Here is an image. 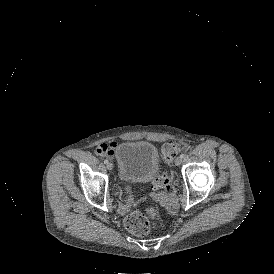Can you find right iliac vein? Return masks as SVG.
Returning a JSON list of instances; mask_svg holds the SVG:
<instances>
[{"label": "right iliac vein", "instance_id": "obj_1", "mask_svg": "<svg viewBox=\"0 0 274 274\" xmlns=\"http://www.w3.org/2000/svg\"><path fill=\"white\" fill-rule=\"evenodd\" d=\"M106 167H107L108 170H113L114 165H113L111 162H108V163L106 164Z\"/></svg>", "mask_w": 274, "mask_h": 274}]
</instances>
